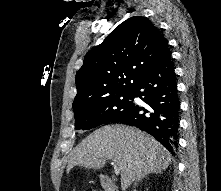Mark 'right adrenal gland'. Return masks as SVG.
Here are the masks:
<instances>
[{
  "mask_svg": "<svg viewBox=\"0 0 221 191\" xmlns=\"http://www.w3.org/2000/svg\"><path fill=\"white\" fill-rule=\"evenodd\" d=\"M157 174V172H156ZM146 177V175L142 176L141 178H139L138 180H136V182L134 183V186H137L138 182L141 181L142 179H144ZM136 191V190H134Z\"/></svg>",
  "mask_w": 221,
  "mask_h": 191,
  "instance_id": "1",
  "label": "right adrenal gland"
}]
</instances>
